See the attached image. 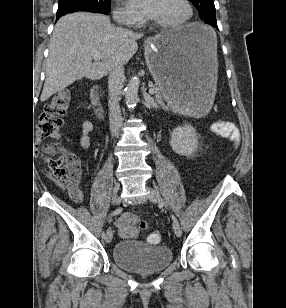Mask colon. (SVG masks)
Listing matches in <instances>:
<instances>
[{
    "label": "colon",
    "instance_id": "5ec220e1",
    "mask_svg": "<svg viewBox=\"0 0 286 308\" xmlns=\"http://www.w3.org/2000/svg\"><path fill=\"white\" fill-rule=\"evenodd\" d=\"M71 100L69 91L56 93L46 104L36 126V146L38 153L43 156L49 165L52 174L61 181H69L73 175L69 168L64 151L58 143L59 130L63 125V116L66 114ZM214 129L221 135H229L232 128L228 123L214 124ZM160 233H151L147 241L157 245L161 242Z\"/></svg>",
    "mask_w": 286,
    "mask_h": 308
}]
</instances>
